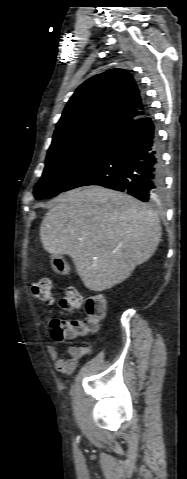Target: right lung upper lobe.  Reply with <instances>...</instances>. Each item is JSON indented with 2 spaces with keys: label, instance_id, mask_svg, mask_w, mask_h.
<instances>
[{
  "label": "right lung upper lobe",
  "instance_id": "obj_1",
  "mask_svg": "<svg viewBox=\"0 0 187 479\" xmlns=\"http://www.w3.org/2000/svg\"><path fill=\"white\" fill-rule=\"evenodd\" d=\"M146 113L147 107L132 75L123 69H111L79 86L63 111L54 137L97 124L124 130Z\"/></svg>",
  "mask_w": 187,
  "mask_h": 479
}]
</instances>
